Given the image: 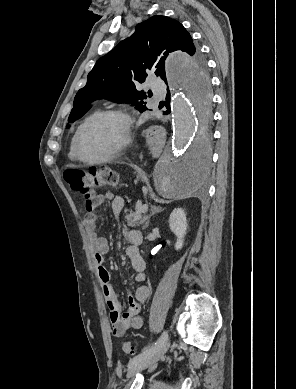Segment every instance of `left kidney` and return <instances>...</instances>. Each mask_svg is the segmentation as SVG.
<instances>
[{
	"label": "left kidney",
	"mask_w": 296,
	"mask_h": 389,
	"mask_svg": "<svg viewBox=\"0 0 296 389\" xmlns=\"http://www.w3.org/2000/svg\"><path fill=\"white\" fill-rule=\"evenodd\" d=\"M169 226L171 231L177 237L175 249L180 250L184 244V237L187 232L186 213L182 208H176L172 211L169 217Z\"/></svg>",
	"instance_id": "obj_1"
}]
</instances>
